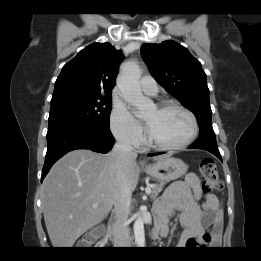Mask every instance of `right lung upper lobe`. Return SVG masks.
I'll return each mask as SVG.
<instances>
[{
  "label": "right lung upper lobe",
  "mask_w": 261,
  "mask_h": 261,
  "mask_svg": "<svg viewBox=\"0 0 261 261\" xmlns=\"http://www.w3.org/2000/svg\"><path fill=\"white\" fill-rule=\"evenodd\" d=\"M123 56L110 43H93L66 63L53 94L80 93L111 96Z\"/></svg>",
  "instance_id": "1"
}]
</instances>
